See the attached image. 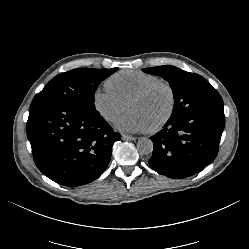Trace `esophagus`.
I'll use <instances>...</instances> for the list:
<instances>
[{
  "mask_svg": "<svg viewBox=\"0 0 249 249\" xmlns=\"http://www.w3.org/2000/svg\"><path fill=\"white\" fill-rule=\"evenodd\" d=\"M122 139H123L124 141H134V140H136V137L129 136V135H126V134H123V135H122Z\"/></svg>",
  "mask_w": 249,
  "mask_h": 249,
  "instance_id": "obj_1",
  "label": "esophagus"
}]
</instances>
